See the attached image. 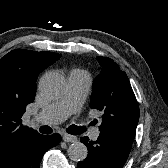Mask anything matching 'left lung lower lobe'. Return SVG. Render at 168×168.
Listing matches in <instances>:
<instances>
[{
    "label": "left lung lower lobe",
    "mask_w": 168,
    "mask_h": 168,
    "mask_svg": "<svg viewBox=\"0 0 168 168\" xmlns=\"http://www.w3.org/2000/svg\"><path fill=\"white\" fill-rule=\"evenodd\" d=\"M80 139L87 146L88 156L77 168H123L132 147L130 142L105 132H100L96 141Z\"/></svg>",
    "instance_id": "1"
}]
</instances>
